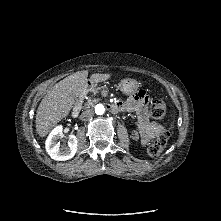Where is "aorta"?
I'll list each match as a JSON object with an SVG mask.
<instances>
[{"label": "aorta", "instance_id": "obj_1", "mask_svg": "<svg viewBox=\"0 0 221 221\" xmlns=\"http://www.w3.org/2000/svg\"><path fill=\"white\" fill-rule=\"evenodd\" d=\"M104 112H105V107H104L103 104H97V105L95 106V113H96L97 115H103Z\"/></svg>", "mask_w": 221, "mask_h": 221}]
</instances>
